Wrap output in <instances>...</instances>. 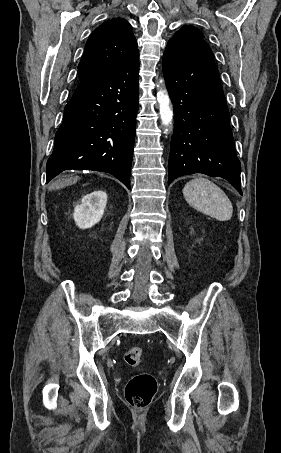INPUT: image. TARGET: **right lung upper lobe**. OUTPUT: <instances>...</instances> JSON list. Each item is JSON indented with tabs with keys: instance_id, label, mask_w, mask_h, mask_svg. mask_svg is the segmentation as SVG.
<instances>
[{
	"instance_id": "cb5924a9",
	"label": "right lung upper lobe",
	"mask_w": 281,
	"mask_h": 453,
	"mask_svg": "<svg viewBox=\"0 0 281 453\" xmlns=\"http://www.w3.org/2000/svg\"><path fill=\"white\" fill-rule=\"evenodd\" d=\"M131 29L126 20L114 18L92 32L78 65L80 82L109 77L139 54Z\"/></svg>"
}]
</instances>
